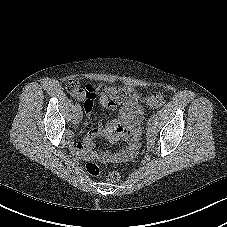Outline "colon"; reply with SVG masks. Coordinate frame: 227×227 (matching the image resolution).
Returning a JSON list of instances; mask_svg holds the SVG:
<instances>
[{
	"label": "colon",
	"instance_id": "1",
	"mask_svg": "<svg viewBox=\"0 0 227 227\" xmlns=\"http://www.w3.org/2000/svg\"><path fill=\"white\" fill-rule=\"evenodd\" d=\"M66 89L70 94H76L82 88L76 79H69L66 82ZM89 98H95L96 95H106L116 104L129 103L133 96V90L124 87H113L106 85L87 86L86 88ZM146 106L151 109L159 108L164 104V98L161 94L153 93L145 99ZM86 171L93 176L100 173V168L97 164L88 163ZM120 179V174L117 171H112L107 175V181L116 183Z\"/></svg>",
	"mask_w": 227,
	"mask_h": 227
}]
</instances>
